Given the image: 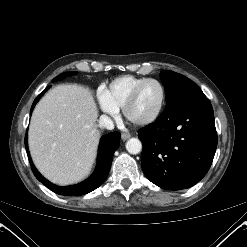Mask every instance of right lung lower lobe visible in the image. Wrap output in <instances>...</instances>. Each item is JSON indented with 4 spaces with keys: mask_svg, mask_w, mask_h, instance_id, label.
I'll return each instance as SVG.
<instances>
[{
    "mask_svg": "<svg viewBox=\"0 0 247 247\" xmlns=\"http://www.w3.org/2000/svg\"><path fill=\"white\" fill-rule=\"evenodd\" d=\"M49 89V86L45 88V90L35 99L30 114L36 105V103L39 101L41 96ZM120 145V133L119 132H112L109 133L101 138L100 144H99V151H98V164L96 166L95 172L85 181L73 185V186H57L46 180L35 168L28 149L27 144V134L25 137V146L26 151L28 154V158L30 160L32 171L35 175V177L43 183L47 188L52 190L53 192L60 194V195H66V196H79L87 194L95 189H97L107 178L111 163H112V156L115 152V150Z\"/></svg>",
    "mask_w": 247,
    "mask_h": 247,
    "instance_id": "right-lung-lower-lobe-1",
    "label": "right lung lower lobe"
}]
</instances>
